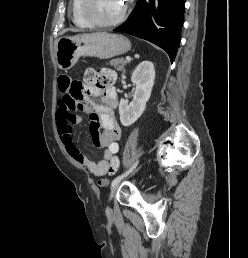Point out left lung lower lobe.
<instances>
[{"label": "left lung lower lobe", "instance_id": "0a47b994", "mask_svg": "<svg viewBox=\"0 0 248 258\" xmlns=\"http://www.w3.org/2000/svg\"><path fill=\"white\" fill-rule=\"evenodd\" d=\"M185 0H137L130 17L114 31L148 40L174 61L184 21Z\"/></svg>", "mask_w": 248, "mask_h": 258}]
</instances>
